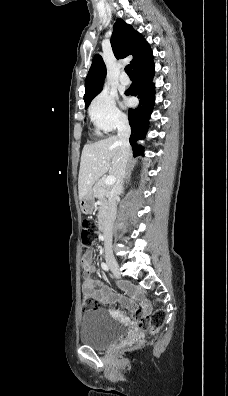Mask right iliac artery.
Returning <instances> with one entry per match:
<instances>
[{"mask_svg": "<svg viewBox=\"0 0 228 396\" xmlns=\"http://www.w3.org/2000/svg\"><path fill=\"white\" fill-rule=\"evenodd\" d=\"M101 267H102L103 270L109 271V267H108V265L106 263L102 262L101 263Z\"/></svg>", "mask_w": 228, "mask_h": 396, "instance_id": "82829eb1", "label": "right iliac artery"}]
</instances>
